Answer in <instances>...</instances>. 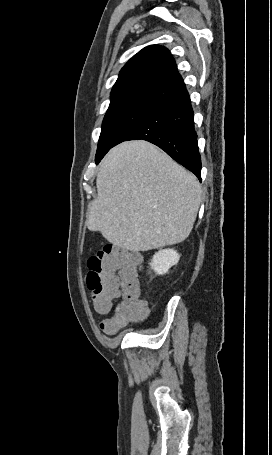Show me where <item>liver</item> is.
<instances>
[{
    "mask_svg": "<svg viewBox=\"0 0 272 455\" xmlns=\"http://www.w3.org/2000/svg\"><path fill=\"white\" fill-rule=\"evenodd\" d=\"M86 225L137 252L183 242L201 202L196 177L146 141L112 148L100 164Z\"/></svg>",
    "mask_w": 272,
    "mask_h": 455,
    "instance_id": "1",
    "label": "liver"
}]
</instances>
